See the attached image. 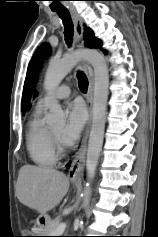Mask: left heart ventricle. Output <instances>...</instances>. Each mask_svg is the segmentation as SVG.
Here are the masks:
<instances>
[{"instance_id": "1", "label": "left heart ventricle", "mask_w": 158, "mask_h": 237, "mask_svg": "<svg viewBox=\"0 0 158 237\" xmlns=\"http://www.w3.org/2000/svg\"><path fill=\"white\" fill-rule=\"evenodd\" d=\"M51 131L59 138L62 132V127L54 128Z\"/></svg>"}]
</instances>
